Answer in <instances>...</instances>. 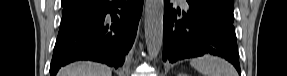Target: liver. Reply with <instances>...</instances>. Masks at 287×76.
<instances>
[{
    "label": "liver",
    "instance_id": "6515ba94",
    "mask_svg": "<svg viewBox=\"0 0 287 76\" xmlns=\"http://www.w3.org/2000/svg\"><path fill=\"white\" fill-rule=\"evenodd\" d=\"M111 69L95 62H75L62 68L58 76H111Z\"/></svg>",
    "mask_w": 287,
    "mask_h": 76
}]
</instances>
